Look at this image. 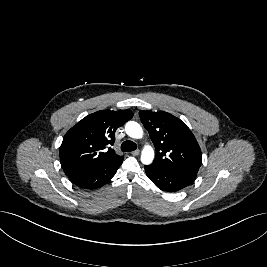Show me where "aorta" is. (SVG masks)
<instances>
[{
    "mask_svg": "<svg viewBox=\"0 0 267 267\" xmlns=\"http://www.w3.org/2000/svg\"><path fill=\"white\" fill-rule=\"evenodd\" d=\"M127 135L131 138L140 139L143 137L142 127L134 121H129L125 126ZM154 159V150L151 146L146 145L141 153V162L145 165L152 163Z\"/></svg>",
    "mask_w": 267,
    "mask_h": 267,
    "instance_id": "762f6f07",
    "label": "aorta"
}]
</instances>
